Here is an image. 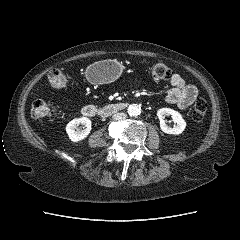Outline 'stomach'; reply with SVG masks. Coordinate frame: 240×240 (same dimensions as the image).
I'll return each instance as SVG.
<instances>
[{
  "instance_id": "stomach-1",
  "label": "stomach",
  "mask_w": 240,
  "mask_h": 240,
  "mask_svg": "<svg viewBox=\"0 0 240 240\" xmlns=\"http://www.w3.org/2000/svg\"><path fill=\"white\" fill-rule=\"evenodd\" d=\"M121 74V65L113 60L95 62L86 69L88 80L94 84L115 81Z\"/></svg>"
}]
</instances>
